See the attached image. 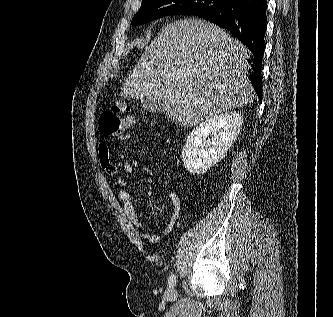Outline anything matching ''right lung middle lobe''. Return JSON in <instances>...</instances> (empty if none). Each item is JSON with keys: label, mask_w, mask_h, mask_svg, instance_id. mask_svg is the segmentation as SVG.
<instances>
[{"label": "right lung middle lobe", "mask_w": 333, "mask_h": 317, "mask_svg": "<svg viewBox=\"0 0 333 317\" xmlns=\"http://www.w3.org/2000/svg\"><path fill=\"white\" fill-rule=\"evenodd\" d=\"M223 0H142L139 12L132 20L133 25L174 14L197 15L218 8Z\"/></svg>", "instance_id": "obj_1"}]
</instances>
